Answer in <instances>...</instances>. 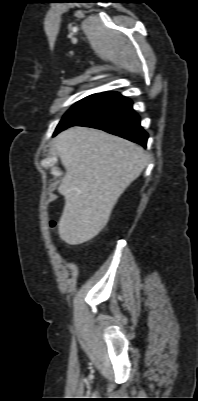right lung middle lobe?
Instances as JSON below:
<instances>
[{"instance_id": "right-lung-middle-lobe-1", "label": "right lung middle lobe", "mask_w": 198, "mask_h": 401, "mask_svg": "<svg viewBox=\"0 0 198 401\" xmlns=\"http://www.w3.org/2000/svg\"><path fill=\"white\" fill-rule=\"evenodd\" d=\"M109 93H99L90 95L80 101H78L61 119L60 123L56 127L54 136L59 132L65 130L68 127L74 126L81 120L88 117L96 109H98L105 101Z\"/></svg>"}]
</instances>
